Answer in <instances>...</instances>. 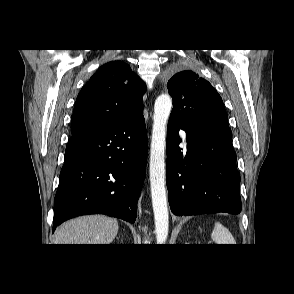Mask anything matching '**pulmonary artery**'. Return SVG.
Listing matches in <instances>:
<instances>
[{
  "label": "pulmonary artery",
  "instance_id": "obj_1",
  "mask_svg": "<svg viewBox=\"0 0 294 294\" xmlns=\"http://www.w3.org/2000/svg\"><path fill=\"white\" fill-rule=\"evenodd\" d=\"M180 136L185 140L186 139V134L184 130H180Z\"/></svg>",
  "mask_w": 294,
  "mask_h": 294
}]
</instances>
